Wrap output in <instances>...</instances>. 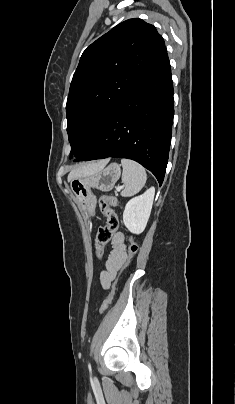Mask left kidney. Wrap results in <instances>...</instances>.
I'll return each mask as SVG.
<instances>
[{"mask_svg":"<svg viewBox=\"0 0 235 404\" xmlns=\"http://www.w3.org/2000/svg\"><path fill=\"white\" fill-rule=\"evenodd\" d=\"M155 188L151 187L142 195L132 198L125 206L123 222L133 234L142 233L150 217Z\"/></svg>","mask_w":235,"mask_h":404,"instance_id":"1","label":"left kidney"}]
</instances>
